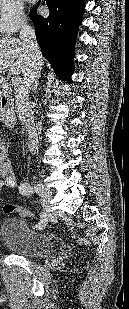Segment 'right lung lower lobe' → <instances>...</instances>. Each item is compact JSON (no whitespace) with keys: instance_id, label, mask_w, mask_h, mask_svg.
I'll return each mask as SVG.
<instances>
[{"instance_id":"right-lung-lower-lobe-1","label":"right lung lower lobe","mask_w":129,"mask_h":309,"mask_svg":"<svg viewBox=\"0 0 129 309\" xmlns=\"http://www.w3.org/2000/svg\"><path fill=\"white\" fill-rule=\"evenodd\" d=\"M50 9L47 18L31 12L36 39L42 54L59 78L71 82L74 44L82 21L84 0H45Z\"/></svg>"}]
</instances>
